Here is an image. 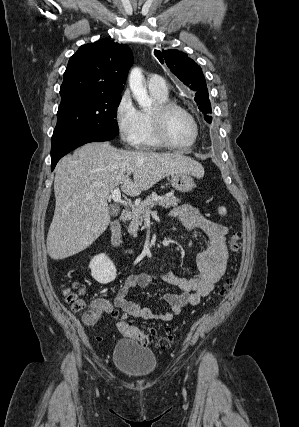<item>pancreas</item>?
<instances>
[{
    "mask_svg": "<svg viewBox=\"0 0 299 427\" xmlns=\"http://www.w3.org/2000/svg\"><path fill=\"white\" fill-rule=\"evenodd\" d=\"M156 194L148 196L138 206L132 208V221L130 222L127 230L134 237L137 236L139 226L143 224L145 216L150 212L151 208L160 205L164 208L176 207L180 200L174 196L173 193L167 194L160 200H155Z\"/></svg>",
    "mask_w": 299,
    "mask_h": 427,
    "instance_id": "cf45deb5",
    "label": "pancreas"
}]
</instances>
